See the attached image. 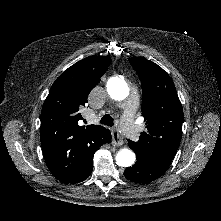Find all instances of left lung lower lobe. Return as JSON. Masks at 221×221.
<instances>
[{"label":"left lung lower lobe","mask_w":221,"mask_h":221,"mask_svg":"<svg viewBox=\"0 0 221 221\" xmlns=\"http://www.w3.org/2000/svg\"><path fill=\"white\" fill-rule=\"evenodd\" d=\"M171 162L145 163L136 161L132 167L124 171V176L136 183H149L162 176Z\"/></svg>","instance_id":"1"}]
</instances>
